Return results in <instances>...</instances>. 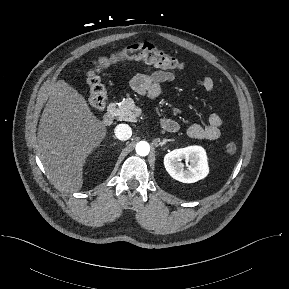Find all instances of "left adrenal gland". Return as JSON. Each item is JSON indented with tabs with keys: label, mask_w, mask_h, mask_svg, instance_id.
<instances>
[{
	"label": "left adrenal gland",
	"mask_w": 289,
	"mask_h": 289,
	"mask_svg": "<svg viewBox=\"0 0 289 289\" xmlns=\"http://www.w3.org/2000/svg\"><path fill=\"white\" fill-rule=\"evenodd\" d=\"M169 141H173V140L172 139H163L162 141H159L158 145L162 147L163 145H165Z\"/></svg>",
	"instance_id": "1"
}]
</instances>
